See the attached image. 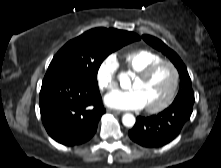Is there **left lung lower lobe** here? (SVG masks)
Listing matches in <instances>:
<instances>
[{"label": "left lung lower lobe", "mask_w": 221, "mask_h": 168, "mask_svg": "<svg viewBox=\"0 0 221 168\" xmlns=\"http://www.w3.org/2000/svg\"><path fill=\"white\" fill-rule=\"evenodd\" d=\"M194 99L184 98L174 101L167 109L150 117H137L129 131L130 138L147 148L164 146L174 140L189 120Z\"/></svg>", "instance_id": "obj_1"}]
</instances>
